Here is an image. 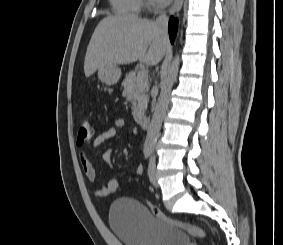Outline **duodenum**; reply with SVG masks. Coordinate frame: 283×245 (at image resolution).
<instances>
[{
	"label": "duodenum",
	"mask_w": 283,
	"mask_h": 245,
	"mask_svg": "<svg viewBox=\"0 0 283 245\" xmlns=\"http://www.w3.org/2000/svg\"><path fill=\"white\" fill-rule=\"evenodd\" d=\"M137 122L142 128H147L149 126L150 119L145 115H140L137 117Z\"/></svg>",
	"instance_id": "duodenum-1"
}]
</instances>
